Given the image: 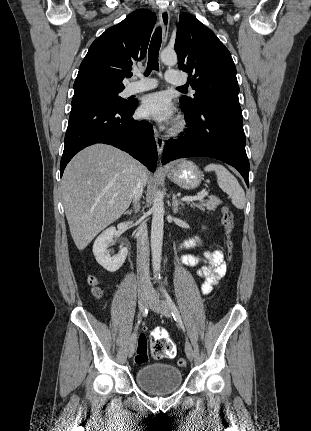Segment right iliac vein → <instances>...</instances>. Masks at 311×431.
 <instances>
[{
    "mask_svg": "<svg viewBox=\"0 0 311 431\" xmlns=\"http://www.w3.org/2000/svg\"><path fill=\"white\" fill-rule=\"evenodd\" d=\"M147 302H148V293L141 292L138 296V305L141 312L146 308ZM135 347H136V334H133L132 337L130 338L129 347H128L129 358L133 356L135 352Z\"/></svg>",
    "mask_w": 311,
    "mask_h": 431,
    "instance_id": "1",
    "label": "right iliac vein"
}]
</instances>
